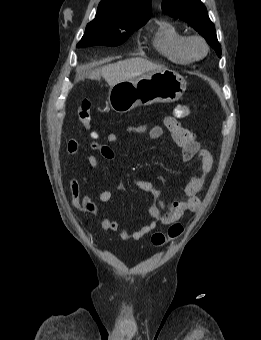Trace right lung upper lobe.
I'll return each instance as SVG.
<instances>
[{
    "instance_id": "cb5924a9",
    "label": "right lung upper lobe",
    "mask_w": 261,
    "mask_h": 340,
    "mask_svg": "<svg viewBox=\"0 0 261 340\" xmlns=\"http://www.w3.org/2000/svg\"><path fill=\"white\" fill-rule=\"evenodd\" d=\"M96 15L112 20H148L151 0H103Z\"/></svg>"
}]
</instances>
